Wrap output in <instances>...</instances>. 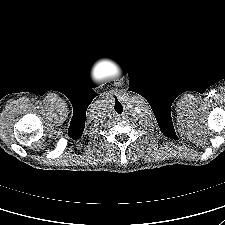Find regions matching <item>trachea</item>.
Returning a JSON list of instances; mask_svg holds the SVG:
<instances>
[{"label": "trachea", "mask_w": 225, "mask_h": 225, "mask_svg": "<svg viewBox=\"0 0 225 225\" xmlns=\"http://www.w3.org/2000/svg\"><path fill=\"white\" fill-rule=\"evenodd\" d=\"M115 111L119 114H121L123 112V106L121 105V103L119 101H115Z\"/></svg>", "instance_id": "obj_1"}]
</instances>
